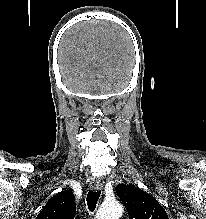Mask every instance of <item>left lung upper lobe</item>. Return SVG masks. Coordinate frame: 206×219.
I'll return each instance as SVG.
<instances>
[{
    "instance_id": "obj_1",
    "label": "left lung upper lobe",
    "mask_w": 206,
    "mask_h": 219,
    "mask_svg": "<svg viewBox=\"0 0 206 219\" xmlns=\"http://www.w3.org/2000/svg\"><path fill=\"white\" fill-rule=\"evenodd\" d=\"M116 193L125 205L129 219H168L159 202L138 187L117 185Z\"/></svg>"
}]
</instances>
